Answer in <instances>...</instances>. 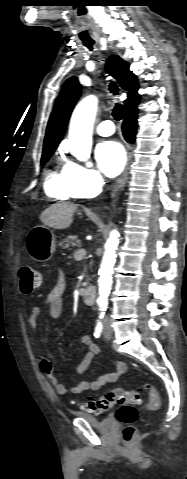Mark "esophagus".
Segmentation results:
<instances>
[{
	"label": "esophagus",
	"instance_id": "esophagus-1",
	"mask_svg": "<svg viewBox=\"0 0 187 479\" xmlns=\"http://www.w3.org/2000/svg\"><path fill=\"white\" fill-rule=\"evenodd\" d=\"M132 160V151L131 148H127V163L126 166L123 170V173L121 174L120 178L116 181L112 188L111 196L115 197L118 192L124 187L125 183L127 182L128 179V174H129V166Z\"/></svg>",
	"mask_w": 187,
	"mask_h": 479
}]
</instances>
